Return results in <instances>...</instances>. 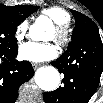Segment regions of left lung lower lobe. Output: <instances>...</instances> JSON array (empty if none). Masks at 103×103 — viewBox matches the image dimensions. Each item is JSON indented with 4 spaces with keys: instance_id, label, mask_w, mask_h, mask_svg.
I'll return each mask as SVG.
<instances>
[{
    "instance_id": "0a47b994",
    "label": "left lung lower lobe",
    "mask_w": 103,
    "mask_h": 103,
    "mask_svg": "<svg viewBox=\"0 0 103 103\" xmlns=\"http://www.w3.org/2000/svg\"><path fill=\"white\" fill-rule=\"evenodd\" d=\"M51 64L64 74V86L45 92V103H88L103 71V43L99 32H89L74 49Z\"/></svg>"
}]
</instances>
